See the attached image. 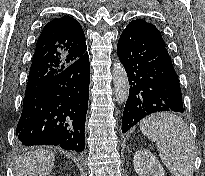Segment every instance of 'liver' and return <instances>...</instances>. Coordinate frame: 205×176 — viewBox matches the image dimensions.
I'll return each mask as SVG.
<instances>
[{
	"label": "liver",
	"mask_w": 205,
	"mask_h": 176,
	"mask_svg": "<svg viewBox=\"0 0 205 176\" xmlns=\"http://www.w3.org/2000/svg\"><path fill=\"white\" fill-rule=\"evenodd\" d=\"M55 154L38 149L19 157L15 162L16 176H47L53 169Z\"/></svg>",
	"instance_id": "1"
}]
</instances>
